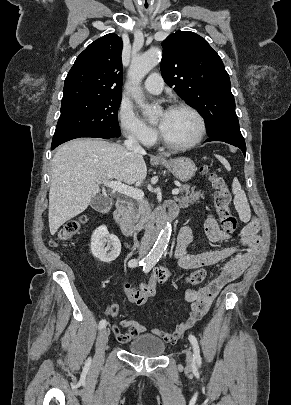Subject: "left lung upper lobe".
<instances>
[{"instance_id": "1", "label": "left lung upper lobe", "mask_w": 291, "mask_h": 405, "mask_svg": "<svg viewBox=\"0 0 291 405\" xmlns=\"http://www.w3.org/2000/svg\"><path fill=\"white\" fill-rule=\"evenodd\" d=\"M162 44L164 81L200 112L208 135L241 133L229 75L208 42L196 33L177 31Z\"/></svg>"}]
</instances>
